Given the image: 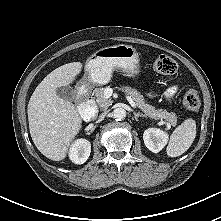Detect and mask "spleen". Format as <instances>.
<instances>
[{
    "mask_svg": "<svg viewBox=\"0 0 221 221\" xmlns=\"http://www.w3.org/2000/svg\"><path fill=\"white\" fill-rule=\"evenodd\" d=\"M196 136V122L193 119H186L173 131L168 146L167 155L177 157L185 153L192 145Z\"/></svg>",
    "mask_w": 221,
    "mask_h": 221,
    "instance_id": "1",
    "label": "spleen"
}]
</instances>
